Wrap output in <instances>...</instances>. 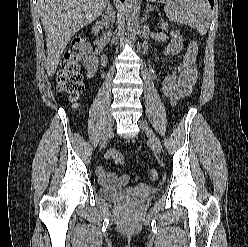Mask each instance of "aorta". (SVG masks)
I'll list each match as a JSON object with an SVG mask.
<instances>
[{
  "label": "aorta",
  "mask_w": 248,
  "mask_h": 247,
  "mask_svg": "<svg viewBox=\"0 0 248 247\" xmlns=\"http://www.w3.org/2000/svg\"><path fill=\"white\" fill-rule=\"evenodd\" d=\"M140 5L138 0H125V16L127 22V32L134 38L139 26Z\"/></svg>",
  "instance_id": "aorta-1"
}]
</instances>
